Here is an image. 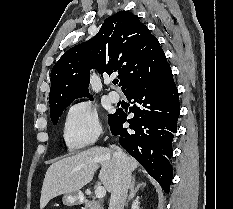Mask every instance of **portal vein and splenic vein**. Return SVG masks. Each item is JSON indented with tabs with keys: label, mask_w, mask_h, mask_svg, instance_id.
Segmentation results:
<instances>
[{
	"label": "portal vein and splenic vein",
	"mask_w": 233,
	"mask_h": 209,
	"mask_svg": "<svg viewBox=\"0 0 233 209\" xmlns=\"http://www.w3.org/2000/svg\"><path fill=\"white\" fill-rule=\"evenodd\" d=\"M106 195V189L103 186H98L95 190V196L98 199L103 198Z\"/></svg>",
	"instance_id": "obj_1"
}]
</instances>
